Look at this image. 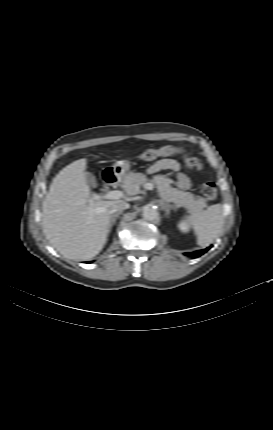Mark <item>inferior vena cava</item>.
<instances>
[{
    "instance_id": "inferior-vena-cava-1",
    "label": "inferior vena cava",
    "mask_w": 273,
    "mask_h": 430,
    "mask_svg": "<svg viewBox=\"0 0 273 430\" xmlns=\"http://www.w3.org/2000/svg\"><path fill=\"white\" fill-rule=\"evenodd\" d=\"M129 207H130V205L127 202H125V201H122V200L115 201L114 204L111 206L110 212L111 213L121 212V211H123L125 209H128Z\"/></svg>"
}]
</instances>
